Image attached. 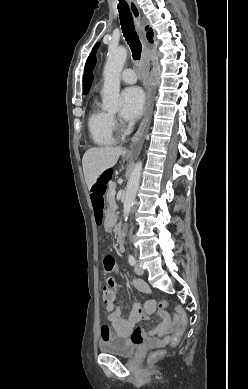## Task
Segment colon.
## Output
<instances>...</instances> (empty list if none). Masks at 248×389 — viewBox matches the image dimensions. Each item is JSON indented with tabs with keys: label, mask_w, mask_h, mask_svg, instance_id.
<instances>
[{
	"label": "colon",
	"mask_w": 248,
	"mask_h": 389,
	"mask_svg": "<svg viewBox=\"0 0 248 389\" xmlns=\"http://www.w3.org/2000/svg\"><path fill=\"white\" fill-rule=\"evenodd\" d=\"M111 172L109 170H104L102 172V175H99L96 184L93 189L91 190L90 199L91 204L94 210V216L96 218H99L103 215L104 207H103V201L105 199V192L107 191V186L111 180ZM103 267L105 271L104 276V283L105 286L103 288V300L105 303L110 302L113 299V296L111 292H117L119 284L116 282L115 279H111L108 274H117L119 272V269L115 265V259L111 255H107L103 259ZM116 278L118 279L119 283L123 282V279L125 278V275L123 273H118L116 275ZM110 286V291H109ZM169 302L167 300L159 301L157 304L155 303V307L157 306L159 309L163 310L168 306ZM176 315L177 320L180 323V326L177 328V330L172 335L170 342L172 345H176L181 337L185 334L187 327H188V317L186 314V311L184 308L180 305L176 307ZM134 341H136L134 339ZM160 355V352H156L153 354V357H157Z\"/></svg>",
	"instance_id": "1"
}]
</instances>
